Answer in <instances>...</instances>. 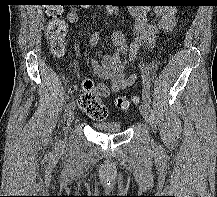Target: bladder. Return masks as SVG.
<instances>
[{"mask_svg": "<svg viewBox=\"0 0 217 197\" xmlns=\"http://www.w3.org/2000/svg\"><path fill=\"white\" fill-rule=\"evenodd\" d=\"M93 126L102 132L116 134L122 130L121 124L115 121L95 122Z\"/></svg>", "mask_w": 217, "mask_h": 197, "instance_id": "obj_1", "label": "bladder"}]
</instances>
